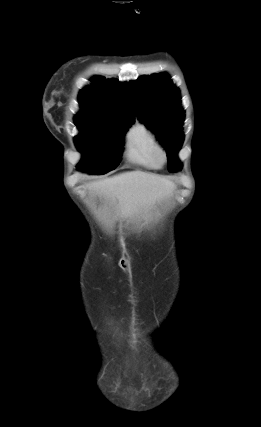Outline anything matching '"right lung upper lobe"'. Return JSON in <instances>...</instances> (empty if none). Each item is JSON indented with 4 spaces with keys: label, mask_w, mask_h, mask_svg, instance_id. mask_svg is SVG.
Segmentation results:
<instances>
[{
    "label": "right lung upper lobe",
    "mask_w": 261,
    "mask_h": 427,
    "mask_svg": "<svg viewBox=\"0 0 261 427\" xmlns=\"http://www.w3.org/2000/svg\"><path fill=\"white\" fill-rule=\"evenodd\" d=\"M78 99L82 112L77 117L134 122L135 110L127 83L96 76Z\"/></svg>",
    "instance_id": "1"
}]
</instances>
